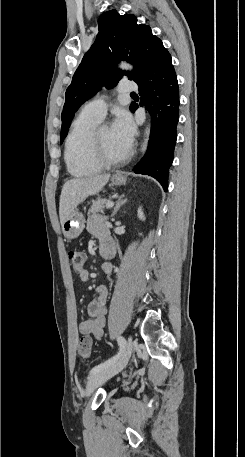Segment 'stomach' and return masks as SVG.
<instances>
[{
	"label": "stomach",
	"instance_id": "0dacf381",
	"mask_svg": "<svg viewBox=\"0 0 245 457\" xmlns=\"http://www.w3.org/2000/svg\"><path fill=\"white\" fill-rule=\"evenodd\" d=\"M116 174H121V178H119V180H114V178H112L113 184H125L127 178H125L124 174H122L120 170H117ZM84 222L85 218L82 212L72 210L68 218H66L62 224V231L65 239H68V241H71V239H77L84 229Z\"/></svg>",
	"mask_w": 245,
	"mask_h": 457
}]
</instances>
